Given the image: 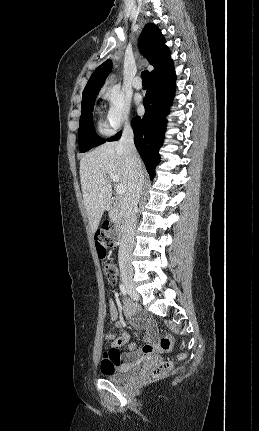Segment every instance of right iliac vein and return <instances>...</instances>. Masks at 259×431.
<instances>
[{
	"label": "right iliac vein",
	"instance_id": "obj_1",
	"mask_svg": "<svg viewBox=\"0 0 259 431\" xmlns=\"http://www.w3.org/2000/svg\"><path fill=\"white\" fill-rule=\"evenodd\" d=\"M122 281H123L128 293L130 294V296L135 300H139V294L135 290V286H134V283L132 280V275L130 272H128L126 270H124L122 272Z\"/></svg>",
	"mask_w": 259,
	"mask_h": 431
}]
</instances>
